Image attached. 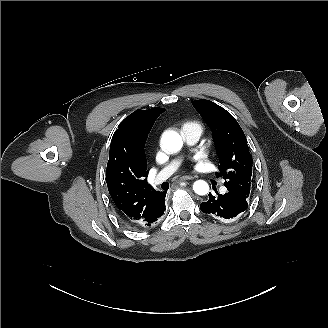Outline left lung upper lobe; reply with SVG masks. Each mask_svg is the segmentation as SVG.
I'll list each match as a JSON object with an SVG mask.
<instances>
[{
    "instance_id": "5c2ea615",
    "label": "left lung upper lobe",
    "mask_w": 328,
    "mask_h": 328,
    "mask_svg": "<svg viewBox=\"0 0 328 328\" xmlns=\"http://www.w3.org/2000/svg\"><path fill=\"white\" fill-rule=\"evenodd\" d=\"M193 106L213 131L220 159V173L217 176L225 179L224 185L229 192L247 199L252 182L253 159L243 130L227 110L209 100L193 101Z\"/></svg>"
}]
</instances>
